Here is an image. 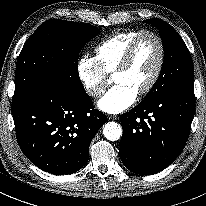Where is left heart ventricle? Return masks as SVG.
<instances>
[{
	"label": "left heart ventricle",
	"mask_w": 206,
	"mask_h": 206,
	"mask_svg": "<svg viewBox=\"0 0 206 206\" xmlns=\"http://www.w3.org/2000/svg\"><path fill=\"white\" fill-rule=\"evenodd\" d=\"M158 58L159 47L155 38L152 36L143 37L128 69L114 75V82L129 87L137 94L152 77Z\"/></svg>",
	"instance_id": "obj_1"
}]
</instances>
